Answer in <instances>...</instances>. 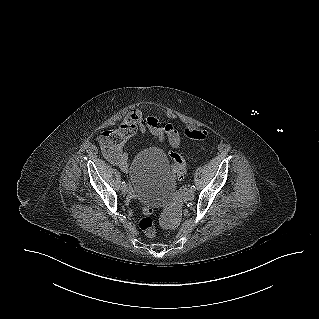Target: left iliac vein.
<instances>
[{"instance_id":"4c4485c4","label":"left iliac vein","mask_w":319,"mask_h":319,"mask_svg":"<svg viewBox=\"0 0 319 319\" xmlns=\"http://www.w3.org/2000/svg\"><path fill=\"white\" fill-rule=\"evenodd\" d=\"M185 197L188 199V200H192L194 198V191L189 189L186 193H185Z\"/></svg>"}]
</instances>
